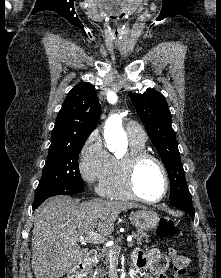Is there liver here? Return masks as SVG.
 <instances>
[{
	"label": "liver",
	"mask_w": 221,
	"mask_h": 278,
	"mask_svg": "<svg viewBox=\"0 0 221 278\" xmlns=\"http://www.w3.org/2000/svg\"><path fill=\"white\" fill-rule=\"evenodd\" d=\"M141 206L127 201L93 199L78 204L66 196L53 197L34 213L32 269L36 278H60L83 261L87 249L78 245L94 228L110 235L118 215ZM98 221V223H97Z\"/></svg>",
	"instance_id": "liver-1"
}]
</instances>
